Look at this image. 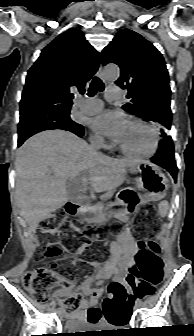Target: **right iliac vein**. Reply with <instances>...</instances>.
Wrapping results in <instances>:
<instances>
[{"label":"right iliac vein","mask_w":194,"mask_h":336,"mask_svg":"<svg viewBox=\"0 0 194 336\" xmlns=\"http://www.w3.org/2000/svg\"><path fill=\"white\" fill-rule=\"evenodd\" d=\"M57 313L59 314V316H61L63 314V308H58Z\"/></svg>","instance_id":"1"}]
</instances>
